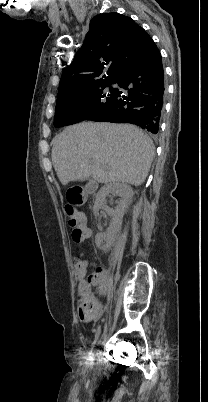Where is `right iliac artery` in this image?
Listing matches in <instances>:
<instances>
[{
  "mask_svg": "<svg viewBox=\"0 0 208 402\" xmlns=\"http://www.w3.org/2000/svg\"><path fill=\"white\" fill-rule=\"evenodd\" d=\"M100 333H101V326H98L97 331H96V333H95L94 341H93V343H92L91 350H90V352H89V354H88V360H91V359H92L93 350H94V347H95V345H96V342H97V340H98V338H99Z\"/></svg>",
  "mask_w": 208,
  "mask_h": 402,
  "instance_id": "obj_1",
  "label": "right iliac artery"
}]
</instances>
